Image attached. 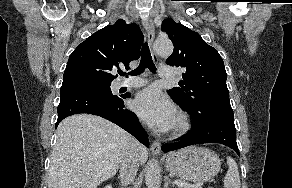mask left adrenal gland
Masks as SVG:
<instances>
[{
    "mask_svg": "<svg viewBox=\"0 0 292 188\" xmlns=\"http://www.w3.org/2000/svg\"><path fill=\"white\" fill-rule=\"evenodd\" d=\"M164 179H165L164 188H168L169 184L173 185L172 181L168 178V176H165Z\"/></svg>",
    "mask_w": 292,
    "mask_h": 188,
    "instance_id": "a2214340",
    "label": "left adrenal gland"
}]
</instances>
